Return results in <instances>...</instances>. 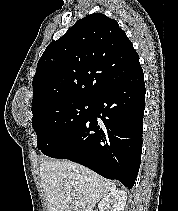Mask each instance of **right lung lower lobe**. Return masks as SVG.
Wrapping results in <instances>:
<instances>
[{"mask_svg": "<svg viewBox=\"0 0 178 211\" xmlns=\"http://www.w3.org/2000/svg\"><path fill=\"white\" fill-rule=\"evenodd\" d=\"M145 92L140 68L93 98L82 126L46 155L77 162L131 189L141 161Z\"/></svg>", "mask_w": 178, "mask_h": 211, "instance_id": "right-lung-lower-lobe-1", "label": "right lung lower lobe"}]
</instances>
